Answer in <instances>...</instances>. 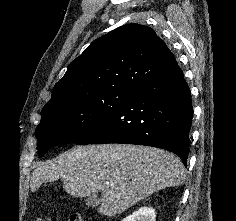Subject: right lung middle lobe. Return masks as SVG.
I'll return each instance as SVG.
<instances>
[{"instance_id": "dd1d6c3e", "label": "right lung middle lobe", "mask_w": 236, "mask_h": 221, "mask_svg": "<svg viewBox=\"0 0 236 221\" xmlns=\"http://www.w3.org/2000/svg\"><path fill=\"white\" fill-rule=\"evenodd\" d=\"M132 89H114L79 97L65 104L42 109L35 135L42 157L51 147L77 142L94 130L133 94Z\"/></svg>"}]
</instances>
